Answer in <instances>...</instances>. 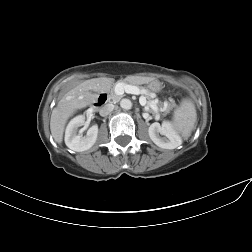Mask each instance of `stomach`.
<instances>
[{
	"instance_id": "stomach-1",
	"label": "stomach",
	"mask_w": 252,
	"mask_h": 252,
	"mask_svg": "<svg viewBox=\"0 0 252 252\" xmlns=\"http://www.w3.org/2000/svg\"><path fill=\"white\" fill-rule=\"evenodd\" d=\"M148 88L151 91L158 92L162 89V83L159 82L158 80H152L148 82Z\"/></svg>"
}]
</instances>
